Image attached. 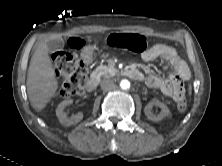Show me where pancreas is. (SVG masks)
<instances>
[{"label": "pancreas", "mask_w": 222, "mask_h": 166, "mask_svg": "<svg viewBox=\"0 0 222 166\" xmlns=\"http://www.w3.org/2000/svg\"><path fill=\"white\" fill-rule=\"evenodd\" d=\"M95 72L100 76L111 77L116 72V69L110 65H100L96 68Z\"/></svg>", "instance_id": "cf45deb5"}]
</instances>
